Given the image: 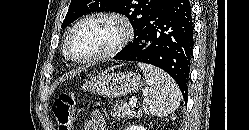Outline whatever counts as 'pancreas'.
<instances>
[{
    "mask_svg": "<svg viewBox=\"0 0 249 130\" xmlns=\"http://www.w3.org/2000/svg\"><path fill=\"white\" fill-rule=\"evenodd\" d=\"M111 114L116 119L131 118V117L140 118L143 115L141 110H139L136 113V110L131 108L126 102L116 103L112 108Z\"/></svg>",
    "mask_w": 249,
    "mask_h": 130,
    "instance_id": "obj_1",
    "label": "pancreas"
}]
</instances>
